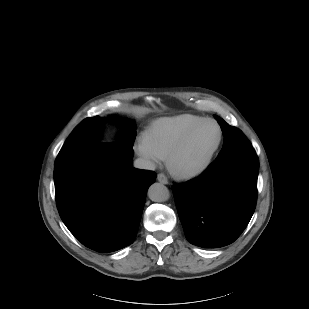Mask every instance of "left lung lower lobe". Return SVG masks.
<instances>
[{
  "mask_svg": "<svg viewBox=\"0 0 309 309\" xmlns=\"http://www.w3.org/2000/svg\"><path fill=\"white\" fill-rule=\"evenodd\" d=\"M258 157L246 148L217 157L198 178L174 184L173 194L186 239L199 247L234 242L256 206Z\"/></svg>",
  "mask_w": 309,
  "mask_h": 309,
  "instance_id": "1",
  "label": "left lung lower lobe"
}]
</instances>
